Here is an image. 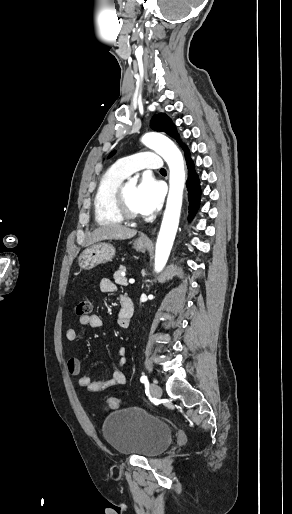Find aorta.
<instances>
[{
	"mask_svg": "<svg viewBox=\"0 0 292 514\" xmlns=\"http://www.w3.org/2000/svg\"><path fill=\"white\" fill-rule=\"evenodd\" d=\"M141 142L150 150H155L156 154H159L167 162L170 170L169 194L155 252V270L161 272L169 258L179 224L185 186L184 162L177 146L162 134L149 132L142 136ZM136 182V178H131L129 184L135 186Z\"/></svg>",
	"mask_w": 292,
	"mask_h": 514,
	"instance_id": "aorta-1",
	"label": "aorta"
}]
</instances>
